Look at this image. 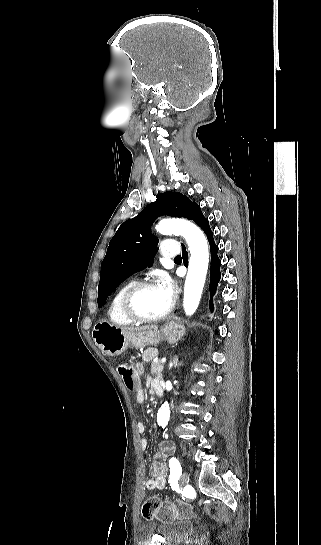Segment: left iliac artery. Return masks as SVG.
Masks as SVG:
<instances>
[{"label":"left iliac artery","mask_w":321,"mask_h":545,"mask_svg":"<svg viewBox=\"0 0 321 545\" xmlns=\"http://www.w3.org/2000/svg\"><path fill=\"white\" fill-rule=\"evenodd\" d=\"M169 467H170L169 482H174L178 480L180 475L182 474L181 464L178 459L172 457L169 460Z\"/></svg>","instance_id":"44dca946"}]
</instances>
